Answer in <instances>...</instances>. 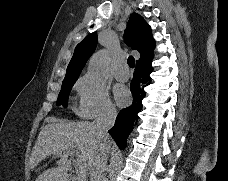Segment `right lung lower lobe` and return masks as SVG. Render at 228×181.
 <instances>
[{
  "label": "right lung lower lobe",
  "mask_w": 228,
  "mask_h": 181,
  "mask_svg": "<svg viewBox=\"0 0 228 181\" xmlns=\"http://www.w3.org/2000/svg\"><path fill=\"white\" fill-rule=\"evenodd\" d=\"M152 59L153 54L136 63V69L130 87L133 95V103L131 106L120 111L115 125L109 130V134L121 149L125 148L126 139L132 131L134 122L138 118L137 114L142 109V100L145 97L144 87L150 84L149 74L153 71L151 67Z\"/></svg>",
  "instance_id": "obj_1"
}]
</instances>
